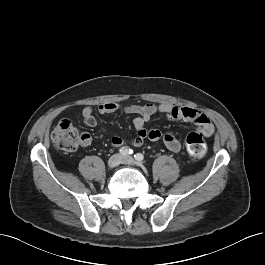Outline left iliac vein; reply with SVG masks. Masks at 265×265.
Returning a JSON list of instances; mask_svg holds the SVG:
<instances>
[{"instance_id":"obj_1","label":"left iliac vein","mask_w":265,"mask_h":265,"mask_svg":"<svg viewBox=\"0 0 265 265\" xmlns=\"http://www.w3.org/2000/svg\"><path fill=\"white\" fill-rule=\"evenodd\" d=\"M122 163L127 165H136V161L131 156H124L122 157Z\"/></svg>"}]
</instances>
